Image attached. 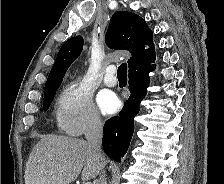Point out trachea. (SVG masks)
Instances as JSON below:
<instances>
[{"mask_svg":"<svg viewBox=\"0 0 224 184\" xmlns=\"http://www.w3.org/2000/svg\"><path fill=\"white\" fill-rule=\"evenodd\" d=\"M117 77L118 79H125L127 80V64L122 63L117 71Z\"/></svg>","mask_w":224,"mask_h":184,"instance_id":"1","label":"trachea"}]
</instances>
